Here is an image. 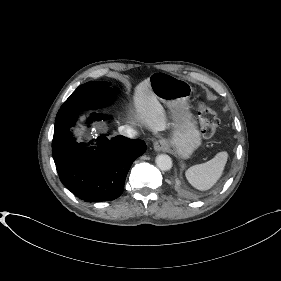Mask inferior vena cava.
Listing matches in <instances>:
<instances>
[{"label": "inferior vena cava", "mask_w": 281, "mask_h": 281, "mask_svg": "<svg viewBox=\"0 0 281 281\" xmlns=\"http://www.w3.org/2000/svg\"><path fill=\"white\" fill-rule=\"evenodd\" d=\"M118 130L121 135L129 138H135L137 135L136 130L129 125L120 126Z\"/></svg>", "instance_id": "inferior-vena-cava-1"}]
</instances>
